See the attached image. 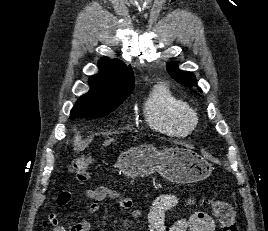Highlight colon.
Wrapping results in <instances>:
<instances>
[{
  "label": "colon",
  "instance_id": "colon-1",
  "mask_svg": "<svg viewBox=\"0 0 268 231\" xmlns=\"http://www.w3.org/2000/svg\"><path fill=\"white\" fill-rule=\"evenodd\" d=\"M92 164L93 159L91 157L82 156L72 162L71 170L79 180H86L90 175ZM203 203L211 208L222 231L239 230L236 213L232 205L225 201L215 199L203 200Z\"/></svg>",
  "mask_w": 268,
  "mask_h": 231
}]
</instances>
